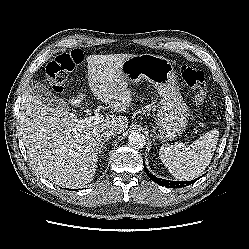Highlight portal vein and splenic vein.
Listing matches in <instances>:
<instances>
[{
    "label": "portal vein and splenic vein",
    "instance_id": "18ae733b",
    "mask_svg": "<svg viewBox=\"0 0 249 249\" xmlns=\"http://www.w3.org/2000/svg\"><path fill=\"white\" fill-rule=\"evenodd\" d=\"M102 119V116L101 114L99 113H95L93 116H89V117H86L84 119H81L79 121V127H83L85 125H92V124H97L98 122H100Z\"/></svg>",
    "mask_w": 249,
    "mask_h": 249
}]
</instances>
